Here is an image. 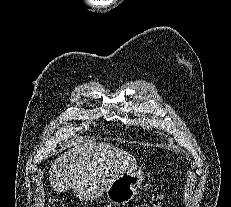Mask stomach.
<instances>
[{"label":"stomach","mask_w":231,"mask_h":207,"mask_svg":"<svg viewBox=\"0 0 231 207\" xmlns=\"http://www.w3.org/2000/svg\"><path fill=\"white\" fill-rule=\"evenodd\" d=\"M143 175L135 170H127L114 179L105 191L107 200L115 205L131 201L142 184Z\"/></svg>","instance_id":"stomach-1"}]
</instances>
